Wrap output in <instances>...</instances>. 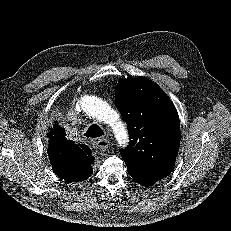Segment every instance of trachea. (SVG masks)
Segmentation results:
<instances>
[{
    "label": "trachea",
    "mask_w": 231,
    "mask_h": 231,
    "mask_svg": "<svg viewBox=\"0 0 231 231\" xmlns=\"http://www.w3.org/2000/svg\"><path fill=\"white\" fill-rule=\"evenodd\" d=\"M103 135H104L103 130L97 124L91 125L86 131V133L84 134V136L90 137V138H98Z\"/></svg>",
    "instance_id": "3493384b"
}]
</instances>
